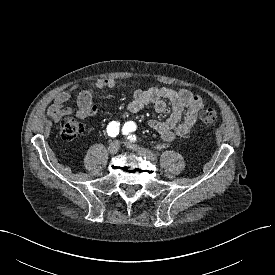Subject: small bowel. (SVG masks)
Wrapping results in <instances>:
<instances>
[{"label":"small bowel","mask_w":275,"mask_h":275,"mask_svg":"<svg viewBox=\"0 0 275 275\" xmlns=\"http://www.w3.org/2000/svg\"><path fill=\"white\" fill-rule=\"evenodd\" d=\"M134 84L138 83L134 82ZM115 86L116 80L114 79H100L91 83L79 91L75 106L70 107L66 104L71 99L73 90L78 88L77 85H74L55 97L48 113L53 120L70 114H74L80 119L93 117L98 113V107L93 104L95 92L98 90L110 91ZM130 94L132 99L127 109L131 113H136L149 105L153 106L156 112L163 113L166 110L167 102L171 104L172 112L167 119H152L148 122L149 127L166 142L173 141L177 136L184 137L190 134L197 122L198 113L204 106L202 98L187 89L150 87L133 90Z\"/></svg>","instance_id":"c3829d8e"}]
</instances>
